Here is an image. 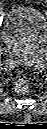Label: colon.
<instances>
[{
    "instance_id": "obj_1",
    "label": "colon",
    "mask_w": 47,
    "mask_h": 129,
    "mask_svg": "<svg viewBox=\"0 0 47 129\" xmlns=\"http://www.w3.org/2000/svg\"><path fill=\"white\" fill-rule=\"evenodd\" d=\"M31 85V80L28 75L20 76L15 82V89L18 92L25 93L29 90Z\"/></svg>"
}]
</instances>
